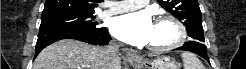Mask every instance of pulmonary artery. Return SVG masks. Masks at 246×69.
Wrapping results in <instances>:
<instances>
[{
    "mask_svg": "<svg viewBox=\"0 0 246 69\" xmlns=\"http://www.w3.org/2000/svg\"><path fill=\"white\" fill-rule=\"evenodd\" d=\"M147 3L148 1L146 0H129V1L118 2L116 4H109L110 9L100 13V17H109L112 15L132 11L143 7Z\"/></svg>",
    "mask_w": 246,
    "mask_h": 69,
    "instance_id": "1",
    "label": "pulmonary artery"
}]
</instances>
